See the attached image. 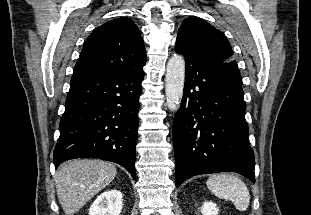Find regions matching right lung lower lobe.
<instances>
[{
  "instance_id": "1",
  "label": "right lung lower lobe",
  "mask_w": 311,
  "mask_h": 215,
  "mask_svg": "<svg viewBox=\"0 0 311 215\" xmlns=\"http://www.w3.org/2000/svg\"><path fill=\"white\" fill-rule=\"evenodd\" d=\"M142 69L132 73L74 72L60 121L53 163L74 158L115 162L135 178Z\"/></svg>"
}]
</instances>
